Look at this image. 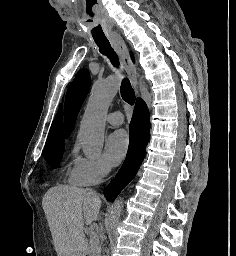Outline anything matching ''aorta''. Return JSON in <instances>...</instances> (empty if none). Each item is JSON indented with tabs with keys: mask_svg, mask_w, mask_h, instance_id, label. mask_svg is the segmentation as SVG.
Instances as JSON below:
<instances>
[{
	"mask_svg": "<svg viewBox=\"0 0 236 256\" xmlns=\"http://www.w3.org/2000/svg\"><path fill=\"white\" fill-rule=\"evenodd\" d=\"M119 77L110 76L93 85L80 125V140L83 145L100 150L103 146L105 116L110 103L119 89ZM123 209L122 199L114 203L106 222L107 229L115 228Z\"/></svg>",
	"mask_w": 236,
	"mask_h": 256,
	"instance_id": "aorta-1",
	"label": "aorta"
}]
</instances>
